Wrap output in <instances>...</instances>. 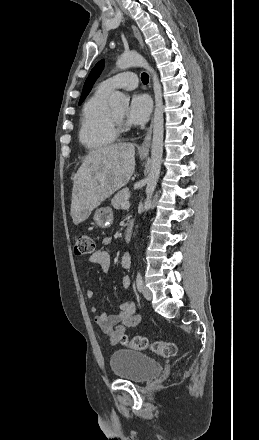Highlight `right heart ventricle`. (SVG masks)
Wrapping results in <instances>:
<instances>
[{
    "label": "right heart ventricle",
    "mask_w": 259,
    "mask_h": 440,
    "mask_svg": "<svg viewBox=\"0 0 259 440\" xmlns=\"http://www.w3.org/2000/svg\"><path fill=\"white\" fill-rule=\"evenodd\" d=\"M108 95L109 92L98 88L82 108L79 141L88 151L103 150L117 139Z\"/></svg>",
    "instance_id": "e07e8e85"
}]
</instances>
